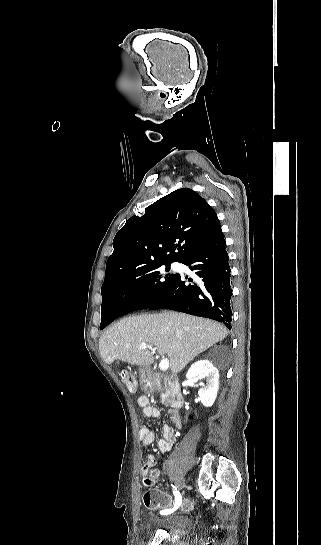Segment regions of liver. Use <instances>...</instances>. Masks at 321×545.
<instances>
[{"label":"liver","mask_w":321,"mask_h":545,"mask_svg":"<svg viewBox=\"0 0 321 545\" xmlns=\"http://www.w3.org/2000/svg\"><path fill=\"white\" fill-rule=\"evenodd\" d=\"M228 331L224 325L209 319L190 317L184 313L163 311L157 315H131L105 329L99 339V351L107 365L116 359L139 367L154 363L148 349L149 343L158 355H167L172 373H180L196 355L223 341Z\"/></svg>","instance_id":"1"}]
</instances>
